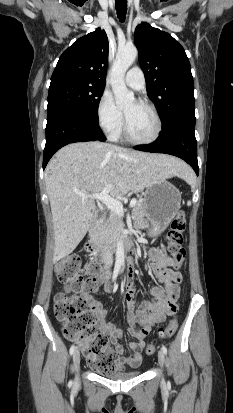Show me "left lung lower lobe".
Listing matches in <instances>:
<instances>
[{
  "instance_id": "left-lung-lower-lobe-1",
  "label": "left lung lower lobe",
  "mask_w": 233,
  "mask_h": 413,
  "mask_svg": "<svg viewBox=\"0 0 233 413\" xmlns=\"http://www.w3.org/2000/svg\"><path fill=\"white\" fill-rule=\"evenodd\" d=\"M194 129L195 120L174 119L163 127L162 133L156 141L146 146L135 147V149L177 156L191 165L198 175L197 142Z\"/></svg>"
}]
</instances>
